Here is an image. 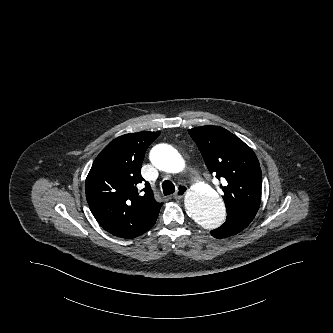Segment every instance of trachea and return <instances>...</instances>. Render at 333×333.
I'll return each instance as SVG.
<instances>
[{"mask_svg":"<svg viewBox=\"0 0 333 333\" xmlns=\"http://www.w3.org/2000/svg\"><path fill=\"white\" fill-rule=\"evenodd\" d=\"M162 189H163L164 195H170L175 192V186L169 180H166L162 183Z\"/></svg>","mask_w":333,"mask_h":333,"instance_id":"3493384b","label":"trachea"}]
</instances>
